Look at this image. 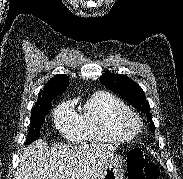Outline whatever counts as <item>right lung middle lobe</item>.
<instances>
[{
  "instance_id": "obj_1",
  "label": "right lung middle lobe",
  "mask_w": 183,
  "mask_h": 179,
  "mask_svg": "<svg viewBox=\"0 0 183 179\" xmlns=\"http://www.w3.org/2000/svg\"><path fill=\"white\" fill-rule=\"evenodd\" d=\"M51 101L40 105L34 106L31 110V123L29 127V135L27 137V144L32 143L40 137V128L45 123V117L51 108Z\"/></svg>"
}]
</instances>
